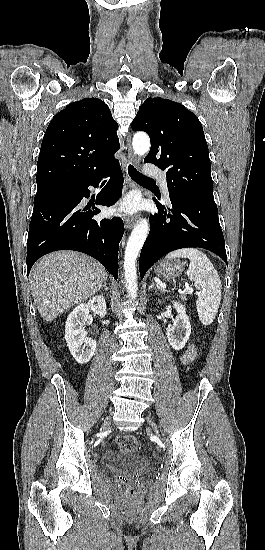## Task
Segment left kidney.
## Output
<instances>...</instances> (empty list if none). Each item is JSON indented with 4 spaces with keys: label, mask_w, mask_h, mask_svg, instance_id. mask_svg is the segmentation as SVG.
I'll use <instances>...</instances> for the list:
<instances>
[{
    "label": "left kidney",
    "mask_w": 265,
    "mask_h": 550,
    "mask_svg": "<svg viewBox=\"0 0 265 550\" xmlns=\"http://www.w3.org/2000/svg\"><path fill=\"white\" fill-rule=\"evenodd\" d=\"M173 306L177 311V316L173 320V325L167 329L166 335L169 344L175 350H181L190 337L191 325L184 305L173 301Z\"/></svg>",
    "instance_id": "5707ae66"
}]
</instances>
